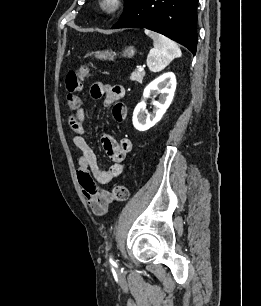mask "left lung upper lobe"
I'll return each instance as SVG.
<instances>
[{
  "label": "left lung upper lobe",
  "mask_w": 261,
  "mask_h": 306,
  "mask_svg": "<svg viewBox=\"0 0 261 306\" xmlns=\"http://www.w3.org/2000/svg\"><path fill=\"white\" fill-rule=\"evenodd\" d=\"M137 0H125V11L123 15H125L129 10L133 7Z\"/></svg>",
  "instance_id": "5c2ea615"
}]
</instances>
